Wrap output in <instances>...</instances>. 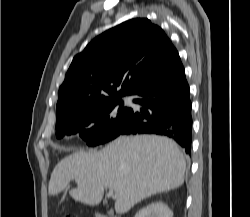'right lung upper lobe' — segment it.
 <instances>
[{"instance_id": "cb5924a9", "label": "right lung upper lobe", "mask_w": 250, "mask_h": 217, "mask_svg": "<svg viewBox=\"0 0 250 217\" xmlns=\"http://www.w3.org/2000/svg\"><path fill=\"white\" fill-rule=\"evenodd\" d=\"M178 58L165 32L146 18L105 31L73 58L59 88L56 122L94 105L136 94Z\"/></svg>"}]
</instances>
